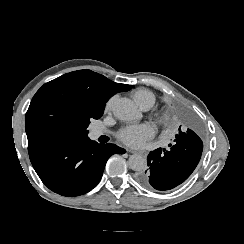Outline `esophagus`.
<instances>
[{
  "label": "esophagus",
  "mask_w": 244,
  "mask_h": 244,
  "mask_svg": "<svg viewBox=\"0 0 244 244\" xmlns=\"http://www.w3.org/2000/svg\"><path fill=\"white\" fill-rule=\"evenodd\" d=\"M128 152L132 153V154H139L143 157H147V151L145 150H128Z\"/></svg>",
  "instance_id": "obj_1"
}]
</instances>
